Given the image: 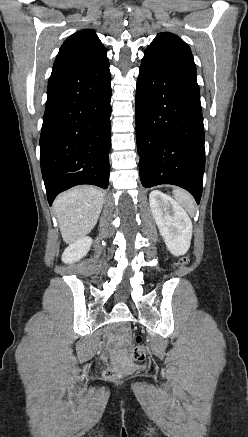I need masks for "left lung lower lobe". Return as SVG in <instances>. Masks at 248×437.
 I'll return each mask as SVG.
<instances>
[{
    "mask_svg": "<svg viewBox=\"0 0 248 437\" xmlns=\"http://www.w3.org/2000/svg\"><path fill=\"white\" fill-rule=\"evenodd\" d=\"M204 140L197 81L141 65L136 90V141L142 185H177L188 190L199 204Z\"/></svg>",
    "mask_w": 248,
    "mask_h": 437,
    "instance_id": "left-lung-lower-lobe-1",
    "label": "left lung lower lobe"
}]
</instances>
